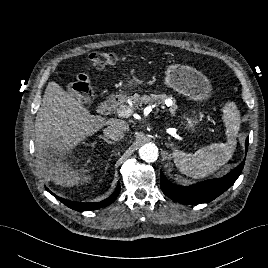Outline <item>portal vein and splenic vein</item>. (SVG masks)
<instances>
[{
    "label": "portal vein and splenic vein",
    "mask_w": 268,
    "mask_h": 268,
    "mask_svg": "<svg viewBox=\"0 0 268 268\" xmlns=\"http://www.w3.org/2000/svg\"><path fill=\"white\" fill-rule=\"evenodd\" d=\"M117 114L119 117L128 118L133 114V109L127 106H122L117 109Z\"/></svg>",
    "instance_id": "obj_1"
}]
</instances>
